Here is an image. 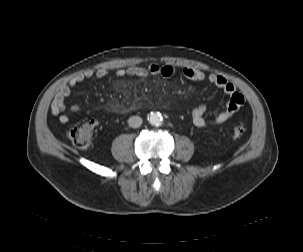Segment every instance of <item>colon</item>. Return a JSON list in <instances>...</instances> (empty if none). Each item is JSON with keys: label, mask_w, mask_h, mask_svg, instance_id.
Instances as JSON below:
<instances>
[{"label": "colon", "mask_w": 303, "mask_h": 252, "mask_svg": "<svg viewBox=\"0 0 303 252\" xmlns=\"http://www.w3.org/2000/svg\"><path fill=\"white\" fill-rule=\"evenodd\" d=\"M95 124L89 122L80 127H74L69 130L68 135L71 142L78 148H88L94 141ZM247 131L245 124H239L233 127L232 135L234 137L243 136Z\"/></svg>", "instance_id": "5ec220e1"}]
</instances>
